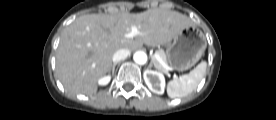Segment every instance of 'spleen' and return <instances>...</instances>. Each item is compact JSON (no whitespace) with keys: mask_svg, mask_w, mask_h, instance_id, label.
<instances>
[{"mask_svg":"<svg viewBox=\"0 0 276 120\" xmlns=\"http://www.w3.org/2000/svg\"><path fill=\"white\" fill-rule=\"evenodd\" d=\"M207 63L202 61L189 74H185L168 83L167 94L170 98L185 97L194 91L206 71Z\"/></svg>","mask_w":276,"mask_h":120,"instance_id":"spleen-1","label":"spleen"}]
</instances>
